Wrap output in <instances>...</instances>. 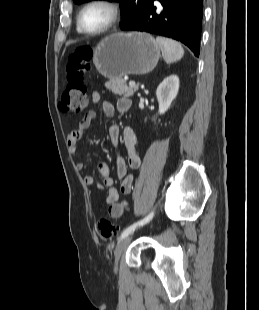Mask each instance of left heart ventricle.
I'll return each instance as SVG.
<instances>
[{
	"label": "left heart ventricle",
	"mask_w": 259,
	"mask_h": 310,
	"mask_svg": "<svg viewBox=\"0 0 259 310\" xmlns=\"http://www.w3.org/2000/svg\"><path fill=\"white\" fill-rule=\"evenodd\" d=\"M109 11L102 6H93L88 8L82 16L83 26L88 30H98L109 20Z\"/></svg>",
	"instance_id": "b2bd125f"
}]
</instances>
